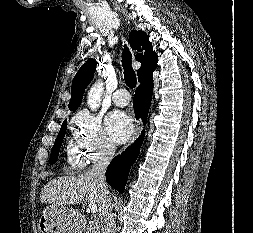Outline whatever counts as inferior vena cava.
Returning a JSON list of instances; mask_svg holds the SVG:
<instances>
[{"label": "inferior vena cava", "instance_id": "obj_1", "mask_svg": "<svg viewBox=\"0 0 253 233\" xmlns=\"http://www.w3.org/2000/svg\"><path fill=\"white\" fill-rule=\"evenodd\" d=\"M116 146L112 142H107L104 145L102 154L99 160L92 166L89 173L96 178L100 184V195L98 200L101 221L103 223V233H115L114 213L111 203V198L107 184L105 181L106 169L115 155Z\"/></svg>", "mask_w": 253, "mask_h": 233}]
</instances>
